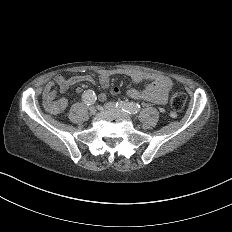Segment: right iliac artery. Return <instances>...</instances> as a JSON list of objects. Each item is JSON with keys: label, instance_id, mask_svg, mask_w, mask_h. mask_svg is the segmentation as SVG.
<instances>
[{"label": "right iliac artery", "instance_id": "right-iliac-artery-1", "mask_svg": "<svg viewBox=\"0 0 232 232\" xmlns=\"http://www.w3.org/2000/svg\"><path fill=\"white\" fill-rule=\"evenodd\" d=\"M82 101L86 104H93L96 101V94L93 90H86L82 94Z\"/></svg>", "mask_w": 232, "mask_h": 232}]
</instances>
